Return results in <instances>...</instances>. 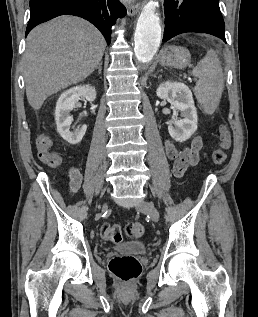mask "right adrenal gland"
<instances>
[{"label":"right adrenal gland","mask_w":258,"mask_h":317,"mask_svg":"<svg viewBox=\"0 0 258 317\" xmlns=\"http://www.w3.org/2000/svg\"><path fill=\"white\" fill-rule=\"evenodd\" d=\"M101 64H102V62H99V64H97V66H96V68H98L99 74H101V70H102Z\"/></svg>","instance_id":"obj_1"}]
</instances>
